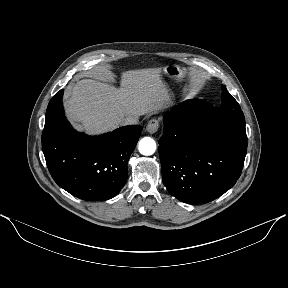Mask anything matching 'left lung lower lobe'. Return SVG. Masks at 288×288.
<instances>
[{
	"label": "left lung lower lobe",
	"mask_w": 288,
	"mask_h": 288,
	"mask_svg": "<svg viewBox=\"0 0 288 288\" xmlns=\"http://www.w3.org/2000/svg\"><path fill=\"white\" fill-rule=\"evenodd\" d=\"M159 145L169 193L185 203H208L240 177L247 152L245 123L220 115L205 100H187L165 114Z\"/></svg>",
	"instance_id": "obj_1"
}]
</instances>
